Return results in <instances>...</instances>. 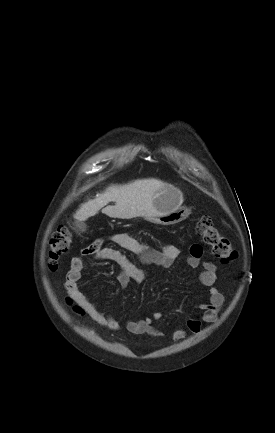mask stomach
Instances as JSON below:
<instances>
[{"label":"stomach","mask_w":275,"mask_h":433,"mask_svg":"<svg viewBox=\"0 0 275 433\" xmlns=\"http://www.w3.org/2000/svg\"><path fill=\"white\" fill-rule=\"evenodd\" d=\"M182 194L172 186L166 185L156 191L153 204L157 215L148 218L160 225H174L186 219L190 210L181 206Z\"/></svg>","instance_id":"1"}]
</instances>
